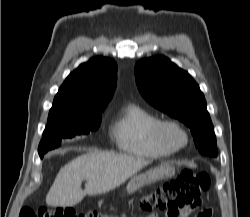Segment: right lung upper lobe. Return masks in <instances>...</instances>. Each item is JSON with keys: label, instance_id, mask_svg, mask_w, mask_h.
<instances>
[{"label": "right lung upper lobe", "instance_id": "obj_1", "mask_svg": "<svg viewBox=\"0 0 250 217\" xmlns=\"http://www.w3.org/2000/svg\"><path fill=\"white\" fill-rule=\"evenodd\" d=\"M117 65L95 57L81 64L66 78L55 96L48 119L103 111L116 87Z\"/></svg>", "mask_w": 250, "mask_h": 217}]
</instances>
